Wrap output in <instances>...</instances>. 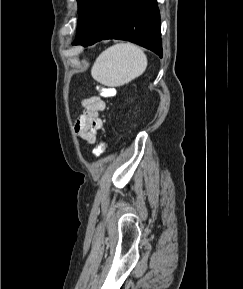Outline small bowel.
Listing matches in <instances>:
<instances>
[{
    "label": "small bowel",
    "instance_id": "small-bowel-1",
    "mask_svg": "<svg viewBox=\"0 0 243 289\" xmlns=\"http://www.w3.org/2000/svg\"><path fill=\"white\" fill-rule=\"evenodd\" d=\"M105 101L99 96H91L83 100L82 112L75 123V133L78 138L87 144L96 140V135L103 128L100 113L105 109Z\"/></svg>",
    "mask_w": 243,
    "mask_h": 289
}]
</instances>
